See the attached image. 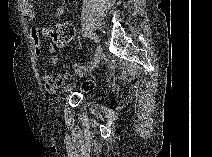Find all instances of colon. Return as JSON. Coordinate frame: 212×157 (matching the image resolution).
I'll list each match as a JSON object with an SVG mask.
<instances>
[{
  "label": "colon",
  "instance_id": "5ec220e1",
  "mask_svg": "<svg viewBox=\"0 0 212 157\" xmlns=\"http://www.w3.org/2000/svg\"><path fill=\"white\" fill-rule=\"evenodd\" d=\"M75 36V28L73 24L69 22H61L53 25L51 29V37L54 42L59 46H64L71 42ZM68 77L65 75H54L53 83L56 86H62L66 83ZM84 88H88L87 84L83 85Z\"/></svg>",
  "mask_w": 212,
  "mask_h": 157
}]
</instances>
